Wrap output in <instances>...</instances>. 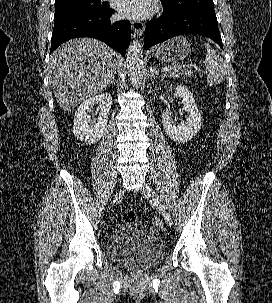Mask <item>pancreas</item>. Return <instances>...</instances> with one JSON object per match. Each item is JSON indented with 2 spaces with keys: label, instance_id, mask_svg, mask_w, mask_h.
Returning <instances> with one entry per match:
<instances>
[{
  "label": "pancreas",
  "instance_id": "obj_1",
  "mask_svg": "<svg viewBox=\"0 0 272 303\" xmlns=\"http://www.w3.org/2000/svg\"><path fill=\"white\" fill-rule=\"evenodd\" d=\"M168 68H169V70L165 74L168 77H180V75H183V74L184 75H190V73L187 72V71H181L180 67H175V66L171 67V66H169Z\"/></svg>",
  "mask_w": 272,
  "mask_h": 303
}]
</instances>
